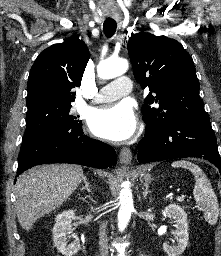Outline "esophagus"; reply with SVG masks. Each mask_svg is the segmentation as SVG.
Masks as SVG:
<instances>
[{"instance_id":"34e87169","label":"esophagus","mask_w":221,"mask_h":256,"mask_svg":"<svg viewBox=\"0 0 221 256\" xmlns=\"http://www.w3.org/2000/svg\"><path fill=\"white\" fill-rule=\"evenodd\" d=\"M120 160L125 165H130L132 161V153L131 150L127 147H124L120 151Z\"/></svg>"}]
</instances>
